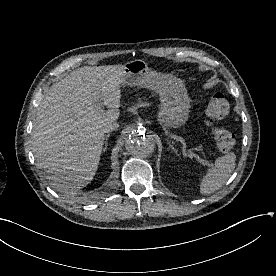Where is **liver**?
Instances as JSON below:
<instances>
[{"label":"liver","instance_id":"6515ba94","mask_svg":"<svg viewBox=\"0 0 276 276\" xmlns=\"http://www.w3.org/2000/svg\"><path fill=\"white\" fill-rule=\"evenodd\" d=\"M124 65L79 68L54 83L41 101L33 125L38 168L59 192L75 196L98 169L103 126L120 114ZM110 108L96 109L97 101Z\"/></svg>","mask_w":276,"mask_h":276}]
</instances>
